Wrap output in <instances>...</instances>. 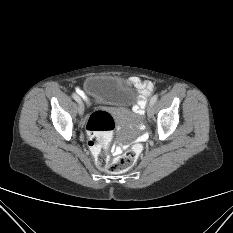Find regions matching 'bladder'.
Masks as SVG:
<instances>
[{"label": "bladder", "mask_w": 233, "mask_h": 233, "mask_svg": "<svg viewBox=\"0 0 233 233\" xmlns=\"http://www.w3.org/2000/svg\"><path fill=\"white\" fill-rule=\"evenodd\" d=\"M86 96L93 102L110 106H129L137 93L124 79L110 75H92L83 83Z\"/></svg>", "instance_id": "obj_1"}]
</instances>
